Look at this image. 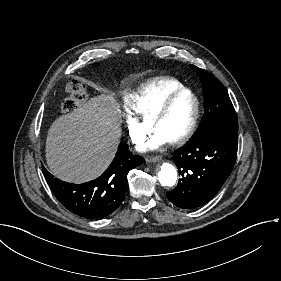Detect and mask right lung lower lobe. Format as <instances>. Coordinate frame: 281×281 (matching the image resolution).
Wrapping results in <instances>:
<instances>
[{"label": "right lung lower lobe", "mask_w": 281, "mask_h": 281, "mask_svg": "<svg viewBox=\"0 0 281 281\" xmlns=\"http://www.w3.org/2000/svg\"><path fill=\"white\" fill-rule=\"evenodd\" d=\"M140 156L133 157L128 145L121 143L116 156L107 170L98 178L83 183L72 184L54 178L45 168V179L59 202L74 214L98 219L114 212L123 201L127 174L141 165Z\"/></svg>", "instance_id": "98d812e1"}]
</instances>
